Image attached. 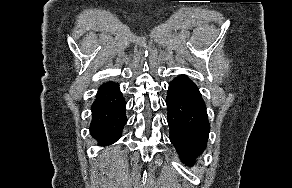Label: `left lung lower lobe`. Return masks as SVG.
Instances as JSON below:
<instances>
[{
  "instance_id": "obj_1",
  "label": "left lung lower lobe",
  "mask_w": 292,
  "mask_h": 188,
  "mask_svg": "<svg viewBox=\"0 0 292 188\" xmlns=\"http://www.w3.org/2000/svg\"><path fill=\"white\" fill-rule=\"evenodd\" d=\"M166 104L170 141L181 161L191 167L204 151L209 136L205 104L197 86L185 75L169 84Z\"/></svg>"
}]
</instances>
